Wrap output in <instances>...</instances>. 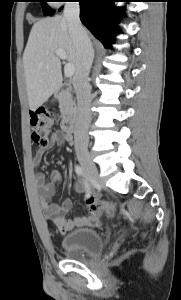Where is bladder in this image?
Returning <instances> with one entry per match:
<instances>
[{
	"label": "bladder",
	"instance_id": "31cf9c89",
	"mask_svg": "<svg viewBox=\"0 0 181 300\" xmlns=\"http://www.w3.org/2000/svg\"><path fill=\"white\" fill-rule=\"evenodd\" d=\"M63 252L68 256L99 254L104 246L102 236L92 228H79L67 232L61 241Z\"/></svg>",
	"mask_w": 181,
	"mask_h": 300
}]
</instances>
